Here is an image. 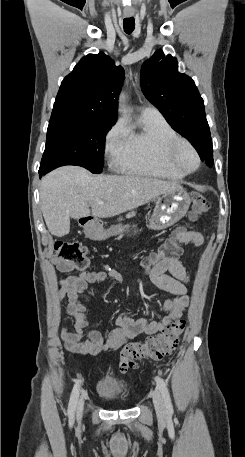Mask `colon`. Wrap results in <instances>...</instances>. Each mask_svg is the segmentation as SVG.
Segmentation results:
<instances>
[{
	"label": "colon",
	"instance_id": "obj_1",
	"mask_svg": "<svg viewBox=\"0 0 245 457\" xmlns=\"http://www.w3.org/2000/svg\"><path fill=\"white\" fill-rule=\"evenodd\" d=\"M209 208V202L201 193L192 195V213L194 217L205 213ZM181 252V244L175 236L163 242L159 248L143 260L145 269H152L159 262L178 256ZM53 257L73 263L78 269L88 268L89 260L87 249L78 242L71 240H58L54 243ZM186 323L179 319L172 322L155 336L148 337L145 341L127 343L119 352V369L126 373L135 367V361L142 358L160 360L170 355L178 346L185 330Z\"/></svg>",
	"mask_w": 245,
	"mask_h": 457
}]
</instances>
